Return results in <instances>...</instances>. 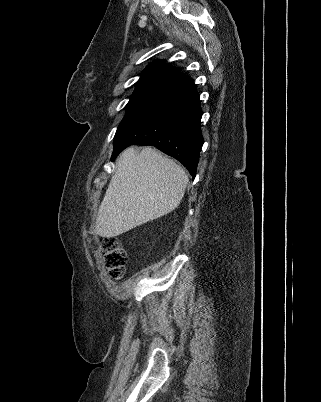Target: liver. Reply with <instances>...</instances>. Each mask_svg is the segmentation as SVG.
Segmentation results:
<instances>
[{
	"instance_id": "obj_1",
	"label": "liver",
	"mask_w": 321,
	"mask_h": 402,
	"mask_svg": "<svg viewBox=\"0 0 321 402\" xmlns=\"http://www.w3.org/2000/svg\"><path fill=\"white\" fill-rule=\"evenodd\" d=\"M188 181L182 167L152 147H129L98 209L96 234L112 238L167 215L180 204Z\"/></svg>"
}]
</instances>
